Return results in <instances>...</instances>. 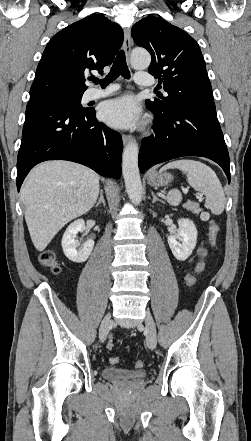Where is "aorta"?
I'll list each match as a JSON object with an SVG mask.
<instances>
[{
	"label": "aorta",
	"instance_id": "762f6f07",
	"mask_svg": "<svg viewBox=\"0 0 251 441\" xmlns=\"http://www.w3.org/2000/svg\"><path fill=\"white\" fill-rule=\"evenodd\" d=\"M151 62L150 54L143 49H135L131 54V64L136 69H146ZM138 144L135 141L128 143L122 156V173L126 191L131 202L135 205L142 201V184L138 167Z\"/></svg>",
	"mask_w": 251,
	"mask_h": 441
}]
</instances>
